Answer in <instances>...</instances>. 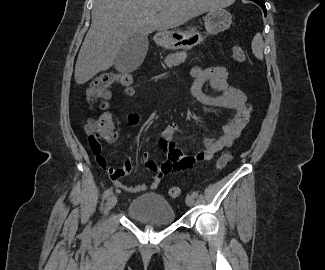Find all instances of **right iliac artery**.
<instances>
[{"label":"right iliac artery","instance_id":"right-iliac-artery-1","mask_svg":"<svg viewBox=\"0 0 325 270\" xmlns=\"http://www.w3.org/2000/svg\"><path fill=\"white\" fill-rule=\"evenodd\" d=\"M112 194V188L107 189L104 193H103V199L109 197Z\"/></svg>","mask_w":325,"mask_h":270}]
</instances>
